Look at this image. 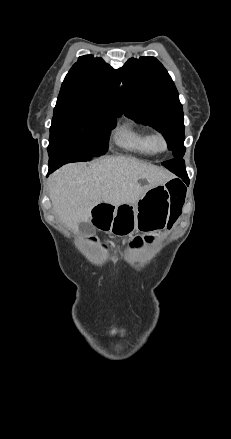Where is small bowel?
Returning a JSON list of instances; mask_svg holds the SVG:
<instances>
[{"instance_id":"obj_1","label":"small bowel","mask_w":231,"mask_h":439,"mask_svg":"<svg viewBox=\"0 0 231 439\" xmlns=\"http://www.w3.org/2000/svg\"><path fill=\"white\" fill-rule=\"evenodd\" d=\"M125 207L130 208L129 206L125 205ZM132 209V208H131ZM152 241V236L150 235H145L144 237V242L146 243H150ZM143 242V239H138L134 245H140Z\"/></svg>"}]
</instances>
